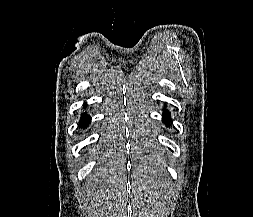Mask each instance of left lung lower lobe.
Here are the masks:
<instances>
[{"label": "left lung lower lobe", "mask_w": 253, "mask_h": 217, "mask_svg": "<svg viewBox=\"0 0 253 217\" xmlns=\"http://www.w3.org/2000/svg\"><path fill=\"white\" fill-rule=\"evenodd\" d=\"M163 121L166 125H169L170 124V116L168 115V112H165L164 113V116H163Z\"/></svg>", "instance_id": "left-lung-lower-lobe-1"}]
</instances>
